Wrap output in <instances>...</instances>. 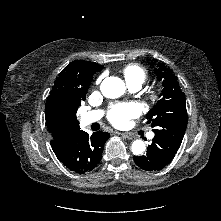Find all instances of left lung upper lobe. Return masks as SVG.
I'll return each mask as SVG.
<instances>
[{"label":"left lung upper lobe","instance_id":"5c2ea615","mask_svg":"<svg viewBox=\"0 0 221 221\" xmlns=\"http://www.w3.org/2000/svg\"><path fill=\"white\" fill-rule=\"evenodd\" d=\"M158 80H163L162 97L147 113V119L156 136L182 142L186 126L187 111L185 94L172 70L158 63L155 69Z\"/></svg>","mask_w":221,"mask_h":221}]
</instances>
